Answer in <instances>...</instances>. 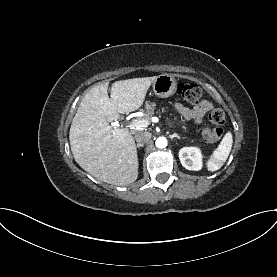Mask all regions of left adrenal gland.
<instances>
[{"instance_id": "obj_1", "label": "left adrenal gland", "mask_w": 277, "mask_h": 277, "mask_svg": "<svg viewBox=\"0 0 277 277\" xmlns=\"http://www.w3.org/2000/svg\"><path fill=\"white\" fill-rule=\"evenodd\" d=\"M170 139H173V138H178L180 139V136L176 133L172 134V135H169Z\"/></svg>"}]
</instances>
